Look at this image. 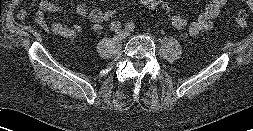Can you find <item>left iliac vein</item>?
I'll return each mask as SVG.
<instances>
[{"label": "left iliac vein", "instance_id": "1", "mask_svg": "<svg viewBox=\"0 0 253 131\" xmlns=\"http://www.w3.org/2000/svg\"><path fill=\"white\" fill-rule=\"evenodd\" d=\"M125 34H126V36H128V35H129V32H126Z\"/></svg>", "mask_w": 253, "mask_h": 131}]
</instances>
